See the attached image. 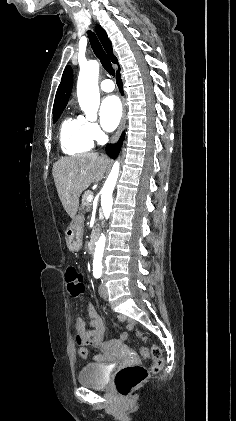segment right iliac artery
Returning <instances> with one entry per match:
<instances>
[{"label":"right iliac artery","mask_w":236,"mask_h":421,"mask_svg":"<svg viewBox=\"0 0 236 421\" xmlns=\"http://www.w3.org/2000/svg\"><path fill=\"white\" fill-rule=\"evenodd\" d=\"M94 277L97 278V279L100 278L101 277V273L94 274Z\"/></svg>","instance_id":"right-iliac-artery-1"}]
</instances>
